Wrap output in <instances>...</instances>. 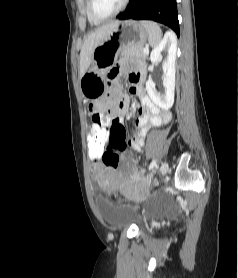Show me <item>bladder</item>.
I'll use <instances>...</instances> for the list:
<instances>
[{"label": "bladder", "mask_w": 238, "mask_h": 278, "mask_svg": "<svg viewBox=\"0 0 238 278\" xmlns=\"http://www.w3.org/2000/svg\"><path fill=\"white\" fill-rule=\"evenodd\" d=\"M97 205L104 222L110 226L117 227L137 221L135 210L128 205L116 204L104 197L98 198Z\"/></svg>", "instance_id": "31cf9c89"}]
</instances>
